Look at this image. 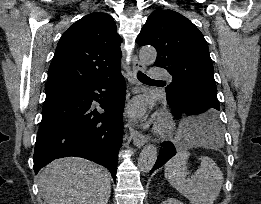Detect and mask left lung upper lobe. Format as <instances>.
<instances>
[{
  "label": "left lung upper lobe",
  "instance_id": "left-lung-upper-lobe-1",
  "mask_svg": "<svg viewBox=\"0 0 261 204\" xmlns=\"http://www.w3.org/2000/svg\"><path fill=\"white\" fill-rule=\"evenodd\" d=\"M136 42L155 47V66L165 68L173 76L166 87L169 104L195 96L219 110L208 45L189 19L172 10L156 9L148 17Z\"/></svg>",
  "mask_w": 261,
  "mask_h": 204
}]
</instances>
